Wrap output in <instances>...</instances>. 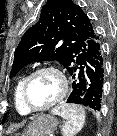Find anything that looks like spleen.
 <instances>
[{
	"mask_svg": "<svg viewBox=\"0 0 117 136\" xmlns=\"http://www.w3.org/2000/svg\"><path fill=\"white\" fill-rule=\"evenodd\" d=\"M54 115H59L65 120L62 128L63 136H74L85 123V111L83 107L76 104H61L51 110Z\"/></svg>",
	"mask_w": 117,
	"mask_h": 136,
	"instance_id": "1",
	"label": "spleen"
}]
</instances>
